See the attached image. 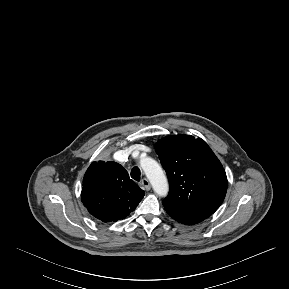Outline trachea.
Wrapping results in <instances>:
<instances>
[{"mask_svg":"<svg viewBox=\"0 0 289 289\" xmlns=\"http://www.w3.org/2000/svg\"><path fill=\"white\" fill-rule=\"evenodd\" d=\"M131 177L136 180V181H140V178H141V171L138 167H134L132 170H131Z\"/></svg>","mask_w":289,"mask_h":289,"instance_id":"trachea-1","label":"trachea"}]
</instances>
